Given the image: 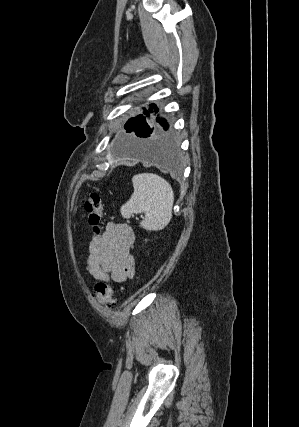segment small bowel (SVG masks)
<instances>
[{"label":"small bowel","instance_id":"1","mask_svg":"<svg viewBox=\"0 0 299 427\" xmlns=\"http://www.w3.org/2000/svg\"><path fill=\"white\" fill-rule=\"evenodd\" d=\"M135 233L126 223L109 222L100 235L90 240L86 269L98 281L121 283L135 274L131 249Z\"/></svg>","mask_w":299,"mask_h":427}]
</instances>
